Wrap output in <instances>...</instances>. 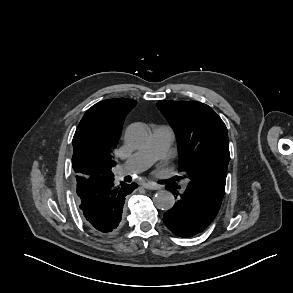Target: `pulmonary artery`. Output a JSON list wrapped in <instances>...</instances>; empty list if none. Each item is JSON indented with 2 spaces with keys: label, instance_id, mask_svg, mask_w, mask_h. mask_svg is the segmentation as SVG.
<instances>
[{
  "label": "pulmonary artery",
  "instance_id": "obj_1",
  "mask_svg": "<svg viewBox=\"0 0 293 293\" xmlns=\"http://www.w3.org/2000/svg\"><path fill=\"white\" fill-rule=\"evenodd\" d=\"M174 138V132L169 126L156 127L149 144L125 161L118 169L117 177L121 178L128 174L146 170L155 161L164 157Z\"/></svg>",
  "mask_w": 293,
  "mask_h": 293
}]
</instances>
